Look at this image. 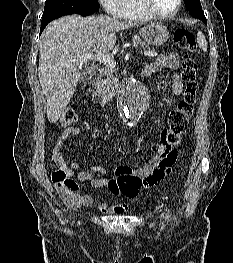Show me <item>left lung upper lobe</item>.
Instances as JSON below:
<instances>
[{
  "label": "left lung upper lobe",
  "instance_id": "1",
  "mask_svg": "<svg viewBox=\"0 0 233 263\" xmlns=\"http://www.w3.org/2000/svg\"><path fill=\"white\" fill-rule=\"evenodd\" d=\"M184 2L190 14L203 21L205 15L202 11L200 0H184Z\"/></svg>",
  "mask_w": 233,
  "mask_h": 263
}]
</instances>
